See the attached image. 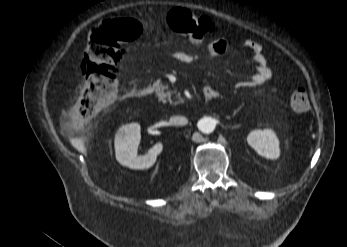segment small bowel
I'll list each match as a JSON object with an SVG mask.
<instances>
[{"label":"small bowel","instance_id":"c3829d8e","mask_svg":"<svg viewBox=\"0 0 347 247\" xmlns=\"http://www.w3.org/2000/svg\"><path fill=\"white\" fill-rule=\"evenodd\" d=\"M245 47L252 54V60L256 68V72L249 80L241 82L239 86L255 87L266 83L272 77V70L268 65L267 57L263 52L262 45L254 40L248 39L245 41ZM228 43L225 38L217 37L211 40L206 46V56L209 59L217 58L226 53ZM173 58L184 64H192L201 60L200 55L189 54L183 51L173 53Z\"/></svg>","mask_w":347,"mask_h":247}]
</instances>
